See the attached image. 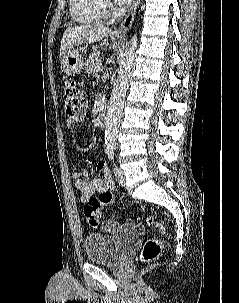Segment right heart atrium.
I'll return each mask as SVG.
<instances>
[{"mask_svg": "<svg viewBox=\"0 0 239 303\" xmlns=\"http://www.w3.org/2000/svg\"><path fill=\"white\" fill-rule=\"evenodd\" d=\"M103 6H104L105 10H111L112 9V5L107 0H104Z\"/></svg>", "mask_w": 239, "mask_h": 303, "instance_id": "right-heart-atrium-1", "label": "right heart atrium"}]
</instances>
